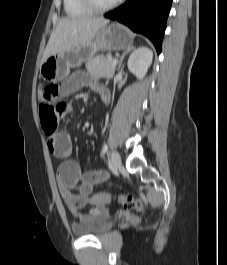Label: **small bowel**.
Segmentation results:
<instances>
[{
    "label": "small bowel",
    "mask_w": 227,
    "mask_h": 265,
    "mask_svg": "<svg viewBox=\"0 0 227 265\" xmlns=\"http://www.w3.org/2000/svg\"><path fill=\"white\" fill-rule=\"evenodd\" d=\"M89 76V72H75L65 81H56L55 85L61 86L60 91L63 95L73 94L82 89L103 93L102 88ZM56 107L58 112H64L63 116L71 111L68 99H59ZM47 144L50 152L62 160L57 169V183L62 200L80 221L96 219L94 212L84 213L81 209L91 203L94 187L107 180L108 173L104 170L82 171L80 165L69 158L72 153V140L64 131L56 129L48 135Z\"/></svg>",
    "instance_id": "1"
}]
</instances>
